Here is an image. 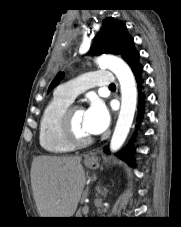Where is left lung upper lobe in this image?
<instances>
[{
  "mask_svg": "<svg viewBox=\"0 0 181 227\" xmlns=\"http://www.w3.org/2000/svg\"><path fill=\"white\" fill-rule=\"evenodd\" d=\"M133 48V38L127 32L126 25L112 17L103 21L102 28L95 38L91 52L99 55L111 53L121 55L123 59ZM64 77V72H59L51 82L48 91H51Z\"/></svg>",
  "mask_w": 181,
  "mask_h": 227,
  "instance_id": "1",
  "label": "left lung upper lobe"
}]
</instances>
